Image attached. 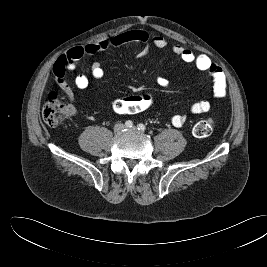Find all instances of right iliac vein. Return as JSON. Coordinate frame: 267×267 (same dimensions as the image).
<instances>
[{
  "label": "right iliac vein",
  "mask_w": 267,
  "mask_h": 267,
  "mask_svg": "<svg viewBox=\"0 0 267 267\" xmlns=\"http://www.w3.org/2000/svg\"><path fill=\"white\" fill-rule=\"evenodd\" d=\"M124 128H125L124 124L117 123V124L114 125L113 129H114L115 132H121V131L124 130Z\"/></svg>",
  "instance_id": "right-iliac-vein-1"
}]
</instances>
